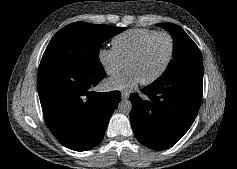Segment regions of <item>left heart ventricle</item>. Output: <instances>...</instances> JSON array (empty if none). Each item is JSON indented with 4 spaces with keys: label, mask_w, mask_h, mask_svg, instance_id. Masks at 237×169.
Segmentation results:
<instances>
[{
    "label": "left heart ventricle",
    "mask_w": 237,
    "mask_h": 169,
    "mask_svg": "<svg viewBox=\"0 0 237 169\" xmlns=\"http://www.w3.org/2000/svg\"><path fill=\"white\" fill-rule=\"evenodd\" d=\"M170 50V42L166 36L154 38L143 53L133 60L128 69L135 72L140 81L156 74L164 65Z\"/></svg>",
    "instance_id": "b2bd125f"
}]
</instances>
